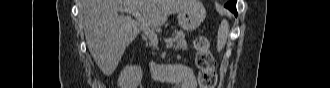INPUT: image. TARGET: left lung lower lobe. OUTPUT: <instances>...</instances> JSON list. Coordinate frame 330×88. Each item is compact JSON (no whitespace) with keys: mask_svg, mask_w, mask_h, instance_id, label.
I'll use <instances>...</instances> for the list:
<instances>
[{"mask_svg":"<svg viewBox=\"0 0 330 88\" xmlns=\"http://www.w3.org/2000/svg\"><path fill=\"white\" fill-rule=\"evenodd\" d=\"M231 12H233L235 14V16H237V11H236V1L232 0L230 2H228L225 5Z\"/></svg>","mask_w":330,"mask_h":88,"instance_id":"0a47b994","label":"left lung lower lobe"}]
</instances>
